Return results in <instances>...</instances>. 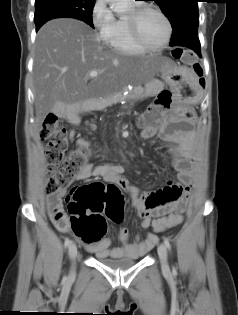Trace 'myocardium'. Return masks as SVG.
<instances>
[{"mask_svg": "<svg viewBox=\"0 0 238 315\" xmlns=\"http://www.w3.org/2000/svg\"><path fill=\"white\" fill-rule=\"evenodd\" d=\"M146 12L157 13L164 20L166 24V28H167L166 38L159 45H156V46L149 45L141 37L140 30H139V21L142 15L145 14ZM128 27H129L131 38L134 41V43L146 51H159L165 48L169 44L172 37V33H173L172 24L169 18L167 17V15L161 9L154 6H150V5H140V6L134 7L128 14Z\"/></svg>", "mask_w": 238, "mask_h": 315, "instance_id": "1", "label": "myocardium"}]
</instances>
